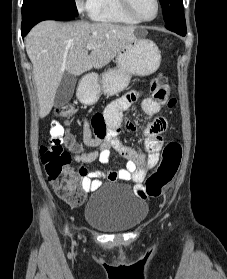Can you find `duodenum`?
<instances>
[{
  "instance_id": "1",
  "label": "duodenum",
  "mask_w": 227,
  "mask_h": 279,
  "mask_svg": "<svg viewBox=\"0 0 227 279\" xmlns=\"http://www.w3.org/2000/svg\"><path fill=\"white\" fill-rule=\"evenodd\" d=\"M85 95L86 94H80V99H79V102L81 103V104H86V101L84 100V97H85Z\"/></svg>"
}]
</instances>
